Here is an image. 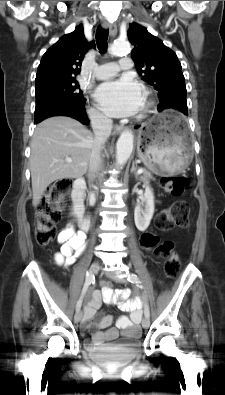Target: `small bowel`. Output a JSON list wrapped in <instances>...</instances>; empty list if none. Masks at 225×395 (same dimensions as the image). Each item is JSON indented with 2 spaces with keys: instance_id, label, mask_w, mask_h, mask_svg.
<instances>
[{
  "instance_id": "obj_1",
  "label": "small bowel",
  "mask_w": 225,
  "mask_h": 395,
  "mask_svg": "<svg viewBox=\"0 0 225 395\" xmlns=\"http://www.w3.org/2000/svg\"><path fill=\"white\" fill-rule=\"evenodd\" d=\"M60 250L55 255L57 264L70 266L83 253L85 249V234L75 233L71 228L63 230L58 236ZM129 290L114 291L112 287L102 285L101 292H94L84 308L82 321L83 329H94L92 341L96 345L112 341L121 333L123 336L137 338L140 336L138 326L141 318V301L138 298L129 299ZM102 302L116 303L128 316H121L116 321V327L110 328L113 321L110 315L97 316V311Z\"/></svg>"
}]
</instances>
